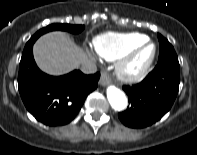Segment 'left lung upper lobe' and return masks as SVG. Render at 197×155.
Returning <instances> with one entry per match:
<instances>
[{
    "instance_id": "left-lung-upper-lobe-1",
    "label": "left lung upper lobe",
    "mask_w": 197,
    "mask_h": 155,
    "mask_svg": "<svg viewBox=\"0 0 197 155\" xmlns=\"http://www.w3.org/2000/svg\"><path fill=\"white\" fill-rule=\"evenodd\" d=\"M159 39V59L158 63L161 62H178V57L173 46L168 42L166 38L158 34Z\"/></svg>"
}]
</instances>
